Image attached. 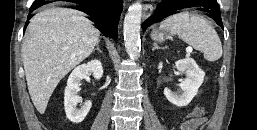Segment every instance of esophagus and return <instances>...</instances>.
Returning <instances> with one entry per match:
<instances>
[{
    "instance_id": "esophagus-1",
    "label": "esophagus",
    "mask_w": 257,
    "mask_h": 130,
    "mask_svg": "<svg viewBox=\"0 0 257 130\" xmlns=\"http://www.w3.org/2000/svg\"><path fill=\"white\" fill-rule=\"evenodd\" d=\"M153 11V6L151 4H145L144 7H143V18H147L148 16L151 15Z\"/></svg>"
}]
</instances>
